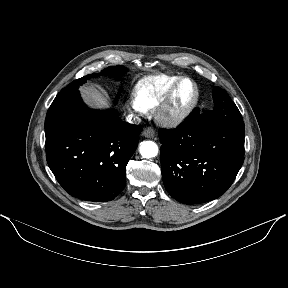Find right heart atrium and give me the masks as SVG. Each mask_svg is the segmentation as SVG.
I'll list each match as a JSON object with an SVG mask.
<instances>
[{
  "mask_svg": "<svg viewBox=\"0 0 288 288\" xmlns=\"http://www.w3.org/2000/svg\"><path fill=\"white\" fill-rule=\"evenodd\" d=\"M126 107L130 112L139 116H144L149 111V109L140 101L135 93L128 95L126 99Z\"/></svg>",
  "mask_w": 288,
  "mask_h": 288,
  "instance_id": "1",
  "label": "right heart atrium"
}]
</instances>
